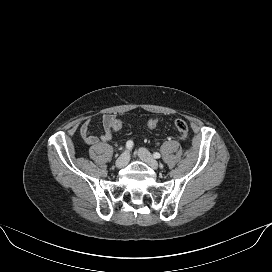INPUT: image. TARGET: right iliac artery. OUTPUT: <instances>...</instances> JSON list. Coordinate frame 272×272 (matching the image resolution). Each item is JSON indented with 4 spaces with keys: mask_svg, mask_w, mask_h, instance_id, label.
Segmentation results:
<instances>
[{
    "mask_svg": "<svg viewBox=\"0 0 272 272\" xmlns=\"http://www.w3.org/2000/svg\"><path fill=\"white\" fill-rule=\"evenodd\" d=\"M132 147H133V141H132V140L127 141V143H126V148H127L128 150H131Z\"/></svg>",
    "mask_w": 272,
    "mask_h": 272,
    "instance_id": "82829eb1",
    "label": "right iliac artery"
}]
</instances>
